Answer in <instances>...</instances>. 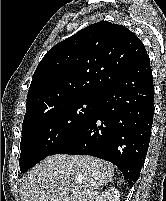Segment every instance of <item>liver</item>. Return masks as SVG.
I'll return each instance as SVG.
<instances>
[{
	"instance_id": "6515ba94",
	"label": "liver",
	"mask_w": 166,
	"mask_h": 201,
	"mask_svg": "<svg viewBox=\"0 0 166 201\" xmlns=\"http://www.w3.org/2000/svg\"><path fill=\"white\" fill-rule=\"evenodd\" d=\"M114 176L113 165L92 156H48L22 178L23 201H94Z\"/></svg>"
}]
</instances>
